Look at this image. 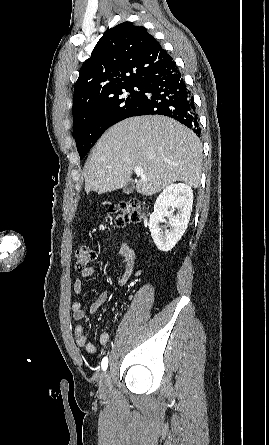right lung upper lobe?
Here are the masks:
<instances>
[{"mask_svg":"<svg viewBox=\"0 0 269 445\" xmlns=\"http://www.w3.org/2000/svg\"><path fill=\"white\" fill-rule=\"evenodd\" d=\"M170 55L142 26L123 22L108 29L80 68L73 109L122 86L141 83Z\"/></svg>","mask_w":269,"mask_h":445,"instance_id":"cb5924a9","label":"right lung upper lobe"}]
</instances>
